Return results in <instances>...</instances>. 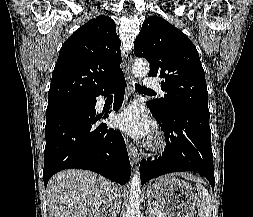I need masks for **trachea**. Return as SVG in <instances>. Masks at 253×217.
Returning <instances> with one entry per match:
<instances>
[{"label": "trachea", "instance_id": "trachea-1", "mask_svg": "<svg viewBox=\"0 0 253 217\" xmlns=\"http://www.w3.org/2000/svg\"><path fill=\"white\" fill-rule=\"evenodd\" d=\"M135 88L138 89V90H141V91L150 92V93L155 94L154 91L149 90V89H147V88H145V87H143V86H141V85H139V84H135Z\"/></svg>", "mask_w": 253, "mask_h": 217}]
</instances>
